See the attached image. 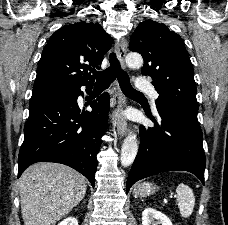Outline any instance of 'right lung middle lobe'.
<instances>
[{
    "instance_id": "obj_1",
    "label": "right lung middle lobe",
    "mask_w": 228,
    "mask_h": 225,
    "mask_svg": "<svg viewBox=\"0 0 228 225\" xmlns=\"http://www.w3.org/2000/svg\"><path fill=\"white\" fill-rule=\"evenodd\" d=\"M72 89L60 87V86H47V87H39V88H33L32 97L31 98H37L45 95H49L52 93L57 92H63V91H70Z\"/></svg>"
}]
</instances>
